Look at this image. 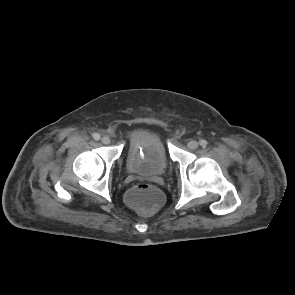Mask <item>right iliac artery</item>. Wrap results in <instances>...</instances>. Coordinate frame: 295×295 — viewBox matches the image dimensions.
Masks as SVG:
<instances>
[{
  "mask_svg": "<svg viewBox=\"0 0 295 295\" xmlns=\"http://www.w3.org/2000/svg\"><path fill=\"white\" fill-rule=\"evenodd\" d=\"M93 138H94L95 140H99V139H100V135H99L98 133H94V134H93Z\"/></svg>",
  "mask_w": 295,
  "mask_h": 295,
  "instance_id": "1",
  "label": "right iliac artery"
}]
</instances>
